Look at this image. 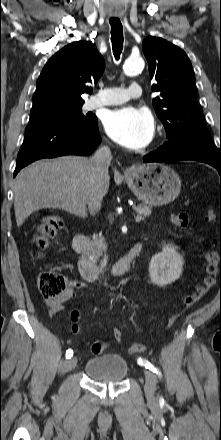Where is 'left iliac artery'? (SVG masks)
<instances>
[{"instance_id": "left-iliac-artery-1", "label": "left iliac artery", "mask_w": 221, "mask_h": 440, "mask_svg": "<svg viewBox=\"0 0 221 440\" xmlns=\"http://www.w3.org/2000/svg\"><path fill=\"white\" fill-rule=\"evenodd\" d=\"M138 363L145 366L147 369L153 371V373H156L158 375V377L162 376L159 368H157L155 365L151 364L148 360L139 358Z\"/></svg>"}]
</instances>
